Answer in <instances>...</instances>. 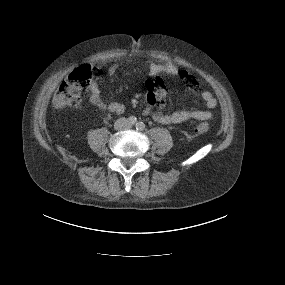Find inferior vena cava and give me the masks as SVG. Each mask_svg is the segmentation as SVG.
I'll list each match as a JSON object with an SVG mask.
<instances>
[{
    "mask_svg": "<svg viewBox=\"0 0 285 285\" xmlns=\"http://www.w3.org/2000/svg\"><path fill=\"white\" fill-rule=\"evenodd\" d=\"M130 127L129 121L126 118H119L114 124L115 130H126Z\"/></svg>",
    "mask_w": 285,
    "mask_h": 285,
    "instance_id": "obj_1",
    "label": "inferior vena cava"
}]
</instances>
